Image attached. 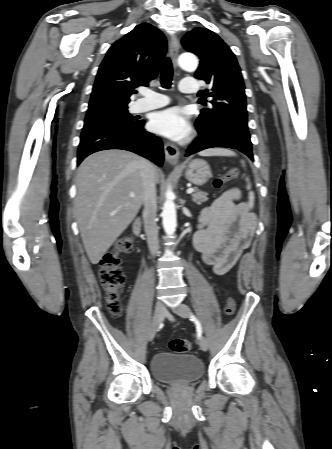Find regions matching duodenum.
Wrapping results in <instances>:
<instances>
[{
	"instance_id": "410a0bca",
	"label": "duodenum",
	"mask_w": 332,
	"mask_h": 449,
	"mask_svg": "<svg viewBox=\"0 0 332 449\" xmlns=\"http://www.w3.org/2000/svg\"><path fill=\"white\" fill-rule=\"evenodd\" d=\"M143 220L138 217L133 223V232L136 236L142 237Z\"/></svg>"
}]
</instances>
